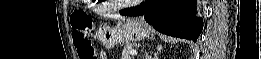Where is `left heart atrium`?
I'll use <instances>...</instances> for the list:
<instances>
[{
	"label": "left heart atrium",
	"mask_w": 261,
	"mask_h": 59,
	"mask_svg": "<svg viewBox=\"0 0 261 59\" xmlns=\"http://www.w3.org/2000/svg\"><path fill=\"white\" fill-rule=\"evenodd\" d=\"M127 3H139L141 0H127Z\"/></svg>",
	"instance_id": "obj_1"
}]
</instances>
